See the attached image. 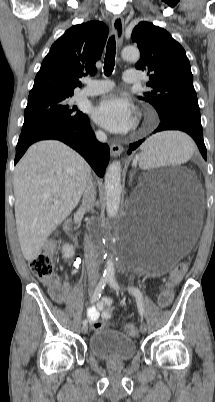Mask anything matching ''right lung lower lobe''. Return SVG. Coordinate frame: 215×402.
<instances>
[{
  "label": "right lung lower lobe",
  "instance_id": "1",
  "mask_svg": "<svg viewBox=\"0 0 215 402\" xmlns=\"http://www.w3.org/2000/svg\"><path fill=\"white\" fill-rule=\"evenodd\" d=\"M45 139H56L66 143L86 159L98 176L103 177L109 162V147L96 140L86 115L78 122L41 134L26 144L17 145L15 163L31 144Z\"/></svg>",
  "mask_w": 215,
  "mask_h": 402
}]
</instances>
